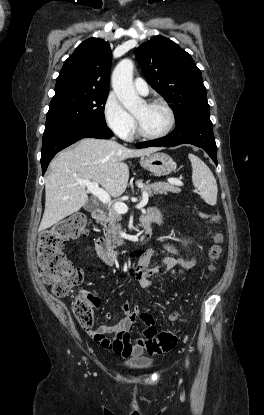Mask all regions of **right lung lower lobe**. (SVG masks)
<instances>
[{"label":"right lung lower lobe","instance_id":"right-lung-lower-lobe-1","mask_svg":"<svg viewBox=\"0 0 264 415\" xmlns=\"http://www.w3.org/2000/svg\"><path fill=\"white\" fill-rule=\"evenodd\" d=\"M112 136L113 132L107 125L99 123H79L44 132L41 150L42 174L56 153L76 141L86 137L109 139Z\"/></svg>","mask_w":264,"mask_h":415}]
</instances>
